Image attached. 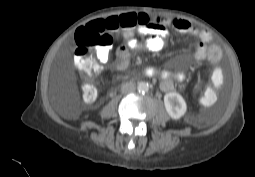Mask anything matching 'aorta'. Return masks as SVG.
I'll use <instances>...</instances> for the list:
<instances>
[{"label": "aorta", "mask_w": 255, "mask_h": 177, "mask_svg": "<svg viewBox=\"0 0 255 177\" xmlns=\"http://www.w3.org/2000/svg\"><path fill=\"white\" fill-rule=\"evenodd\" d=\"M138 90L140 92H147L149 90V85L146 82H139L138 83Z\"/></svg>", "instance_id": "762f6f07"}]
</instances>
